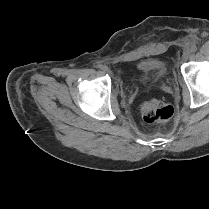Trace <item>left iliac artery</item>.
<instances>
[{
	"mask_svg": "<svg viewBox=\"0 0 209 209\" xmlns=\"http://www.w3.org/2000/svg\"><path fill=\"white\" fill-rule=\"evenodd\" d=\"M191 52H196L197 51V46L194 44L190 48Z\"/></svg>",
	"mask_w": 209,
	"mask_h": 209,
	"instance_id": "44dca946",
	"label": "left iliac artery"
}]
</instances>
